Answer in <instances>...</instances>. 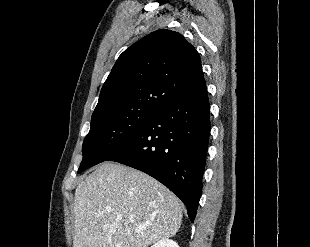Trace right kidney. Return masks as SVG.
Here are the masks:
<instances>
[{"label": "right kidney", "instance_id": "ca27d5eb", "mask_svg": "<svg viewBox=\"0 0 310 247\" xmlns=\"http://www.w3.org/2000/svg\"><path fill=\"white\" fill-rule=\"evenodd\" d=\"M151 247H179V245L172 239L164 238L153 244Z\"/></svg>", "mask_w": 310, "mask_h": 247}]
</instances>
